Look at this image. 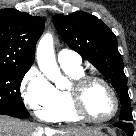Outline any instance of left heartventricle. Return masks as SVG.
<instances>
[{"label":"left heart ventricle","instance_id":"b2bd125f","mask_svg":"<svg viewBox=\"0 0 136 136\" xmlns=\"http://www.w3.org/2000/svg\"><path fill=\"white\" fill-rule=\"evenodd\" d=\"M85 105L88 113L98 119L108 117L113 111V101L108 90L99 83L87 90Z\"/></svg>","mask_w":136,"mask_h":136}]
</instances>
